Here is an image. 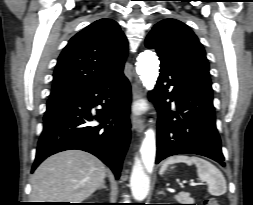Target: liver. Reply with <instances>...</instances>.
<instances>
[{"label":"liver","mask_w":253,"mask_h":205,"mask_svg":"<svg viewBox=\"0 0 253 205\" xmlns=\"http://www.w3.org/2000/svg\"><path fill=\"white\" fill-rule=\"evenodd\" d=\"M105 165L95 156L68 150L47 158L32 179L34 202L81 203L104 182Z\"/></svg>","instance_id":"1"}]
</instances>
